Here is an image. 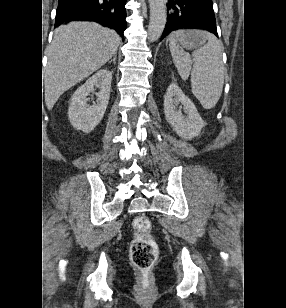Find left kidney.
Listing matches in <instances>:
<instances>
[{"instance_id":"obj_1","label":"left kidney","mask_w":286,"mask_h":308,"mask_svg":"<svg viewBox=\"0 0 286 308\" xmlns=\"http://www.w3.org/2000/svg\"><path fill=\"white\" fill-rule=\"evenodd\" d=\"M187 116H183L181 110L177 109L179 104ZM165 118L173 127L178 136L185 140H191L198 136L205 123L198 113L194 103L183 93L176 83H171L164 96Z\"/></svg>"}]
</instances>
